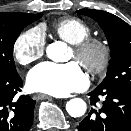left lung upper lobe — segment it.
<instances>
[{
    "instance_id": "5c2ea615",
    "label": "left lung upper lobe",
    "mask_w": 131,
    "mask_h": 131,
    "mask_svg": "<svg viewBox=\"0 0 131 131\" xmlns=\"http://www.w3.org/2000/svg\"><path fill=\"white\" fill-rule=\"evenodd\" d=\"M77 12L91 17L100 25L110 46L107 76L98 87L131 90V26L105 11L82 9Z\"/></svg>"
}]
</instances>
